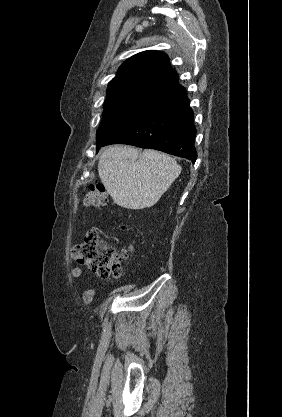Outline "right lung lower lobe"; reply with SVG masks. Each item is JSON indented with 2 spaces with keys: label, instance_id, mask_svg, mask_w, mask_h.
<instances>
[{
  "label": "right lung lower lobe",
  "instance_id": "98d812e1",
  "mask_svg": "<svg viewBox=\"0 0 282 417\" xmlns=\"http://www.w3.org/2000/svg\"><path fill=\"white\" fill-rule=\"evenodd\" d=\"M193 118L186 90L177 83L161 92L137 116L106 138L97 152L102 146L124 143L160 150L194 163L197 152Z\"/></svg>",
  "mask_w": 282,
  "mask_h": 417
}]
</instances>
